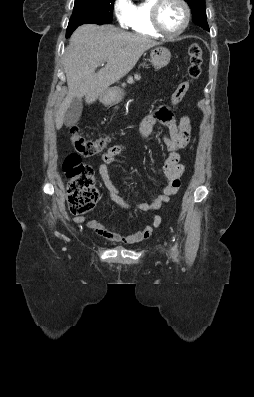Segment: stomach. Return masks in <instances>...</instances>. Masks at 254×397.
<instances>
[{"label": "stomach", "mask_w": 254, "mask_h": 397, "mask_svg": "<svg viewBox=\"0 0 254 397\" xmlns=\"http://www.w3.org/2000/svg\"><path fill=\"white\" fill-rule=\"evenodd\" d=\"M170 58L171 53L165 47H156L150 51L151 63L155 69H161L167 66L170 62ZM124 95L125 93L122 90H120L119 88H114L105 91L101 95L100 100L106 105H112L120 102L123 99Z\"/></svg>", "instance_id": "1"}]
</instances>
